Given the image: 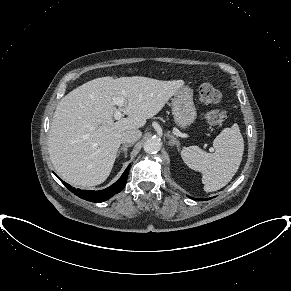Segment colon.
<instances>
[{
    "label": "colon",
    "mask_w": 291,
    "mask_h": 291,
    "mask_svg": "<svg viewBox=\"0 0 291 291\" xmlns=\"http://www.w3.org/2000/svg\"><path fill=\"white\" fill-rule=\"evenodd\" d=\"M199 96L203 104H217L221 100V93L210 83H203L199 87ZM204 118L207 123L213 126H221L225 119L226 113L223 110L212 109L205 113Z\"/></svg>",
    "instance_id": "obj_1"
}]
</instances>
